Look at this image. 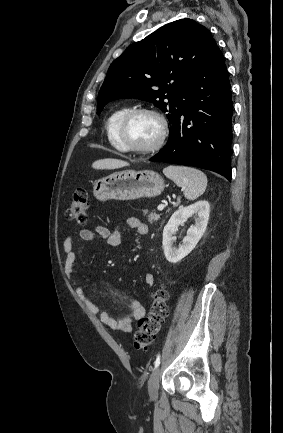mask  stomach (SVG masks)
<instances>
[{"mask_svg":"<svg viewBox=\"0 0 283 433\" xmlns=\"http://www.w3.org/2000/svg\"><path fill=\"white\" fill-rule=\"evenodd\" d=\"M164 180L155 170H122L95 180L93 194L98 200H135L141 196H158Z\"/></svg>","mask_w":283,"mask_h":433,"instance_id":"1","label":"stomach"}]
</instances>
